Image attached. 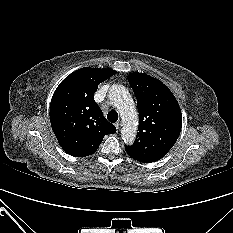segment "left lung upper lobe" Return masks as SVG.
<instances>
[{
  "mask_svg": "<svg viewBox=\"0 0 233 233\" xmlns=\"http://www.w3.org/2000/svg\"><path fill=\"white\" fill-rule=\"evenodd\" d=\"M127 78L137 99L139 132L133 145L125 149L137 161L155 162L177 141L182 126L181 110L175 96L158 79L137 72Z\"/></svg>",
  "mask_w": 233,
  "mask_h": 233,
  "instance_id": "5c2ea615",
  "label": "left lung upper lobe"
}]
</instances>
